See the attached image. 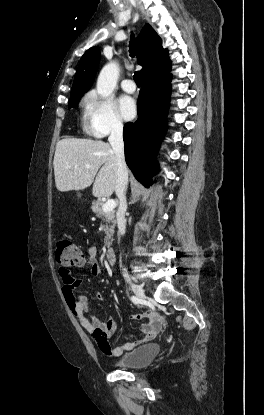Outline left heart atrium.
<instances>
[{
    "label": "left heart atrium",
    "mask_w": 264,
    "mask_h": 415,
    "mask_svg": "<svg viewBox=\"0 0 264 415\" xmlns=\"http://www.w3.org/2000/svg\"><path fill=\"white\" fill-rule=\"evenodd\" d=\"M119 111L122 117L126 120H130L134 117L136 112L135 102L128 96H122L118 102Z\"/></svg>",
    "instance_id": "left-heart-atrium-1"
}]
</instances>
